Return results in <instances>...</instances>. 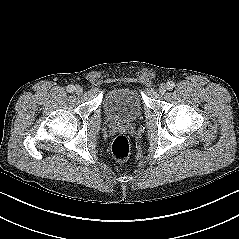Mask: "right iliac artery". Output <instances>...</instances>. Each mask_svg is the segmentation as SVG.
<instances>
[{"label":"right iliac artery","mask_w":239,"mask_h":239,"mask_svg":"<svg viewBox=\"0 0 239 239\" xmlns=\"http://www.w3.org/2000/svg\"><path fill=\"white\" fill-rule=\"evenodd\" d=\"M75 90V87L73 86V85H68V87H67V91L68 92H73Z\"/></svg>","instance_id":"1"}]
</instances>
